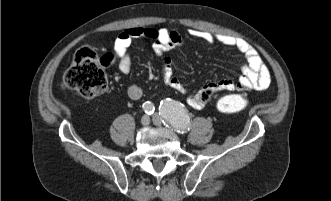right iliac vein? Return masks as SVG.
I'll list each match as a JSON object with an SVG mask.
<instances>
[{
  "label": "right iliac vein",
  "mask_w": 331,
  "mask_h": 201,
  "mask_svg": "<svg viewBox=\"0 0 331 201\" xmlns=\"http://www.w3.org/2000/svg\"><path fill=\"white\" fill-rule=\"evenodd\" d=\"M149 123H150V118H149V116L144 115V116L141 118V124H142L143 126H148Z\"/></svg>",
  "instance_id": "obj_1"
}]
</instances>
